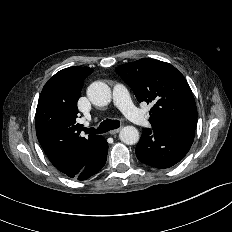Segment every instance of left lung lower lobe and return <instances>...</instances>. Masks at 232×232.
Wrapping results in <instances>:
<instances>
[{"instance_id":"1","label":"left lung lower lobe","mask_w":232,"mask_h":232,"mask_svg":"<svg viewBox=\"0 0 232 232\" xmlns=\"http://www.w3.org/2000/svg\"><path fill=\"white\" fill-rule=\"evenodd\" d=\"M194 134L195 130L185 128H144L136 146V156L153 168H170L187 154Z\"/></svg>"}]
</instances>
